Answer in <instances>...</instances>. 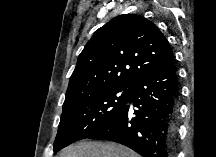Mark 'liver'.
I'll use <instances>...</instances> for the list:
<instances>
[{"label":"liver","instance_id":"6515ba94","mask_svg":"<svg viewBox=\"0 0 216 157\" xmlns=\"http://www.w3.org/2000/svg\"><path fill=\"white\" fill-rule=\"evenodd\" d=\"M59 157H139L133 150L113 142H81L65 148Z\"/></svg>","mask_w":216,"mask_h":157}]
</instances>
